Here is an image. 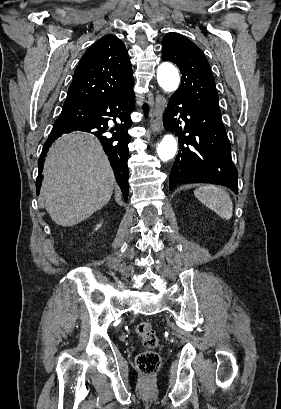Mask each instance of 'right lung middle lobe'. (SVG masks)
I'll use <instances>...</instances> for the list:
<instances>
[{"label": "right lung middle lobe", "instance_id": "dd1d6c3e", "mask_svg": "<svg viewBox=\"0 0 281 409\" xmlns=\"http://www.w3.org/2000/svg\"><path fill=\"white\" fill-rule=\"evenodd\" d=\"M80 118L74 117V116H68V117H59L56 120V124L57 123H77L79 122Z\"/></svg>", "mask_w": 281, "mask_h": 409}]
</instances>
